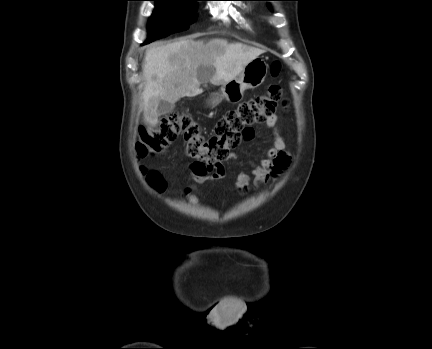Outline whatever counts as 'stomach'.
Here are the masks:
<instances>
[{
    "label": "stomach",
    "mask_w": 432,
    "mask_h": 349,
    "mask_svg": "<svg viewBox=\"0 0 432 349\" xmlns=\"http://www.w3.org/2000/svg\"><path fill=\"white\" fill-rule=\"evenodd\" d=\"M268 68L264 59L256 57L244 67L237 77L224 83L219 93L212 95L211 103L214 105L222 99L235 104L239 103L243 100L245 90L256 88L264 82Z\"/></svg>",
    "instance_id": "1"
}]
</instances>
